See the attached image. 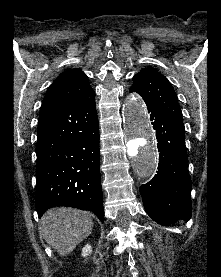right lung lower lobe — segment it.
<instances>
[{
  "instance_id": "1",
  "label": "right lung lower lobe",
  "mask_w": 221,
  "mask_h": 277,
  "mask_svg": "<svg viewBox=\"0 0 221 277\" xmlns=\"http://www.w3.org/2000/svg\"><path fill=\"white\" fill-rule=\"evenodd\" d=\"M36 210L55 206L92 211L104 221L95 92L42 106L37 135Z\"/></svg>"
}]
</instances>
